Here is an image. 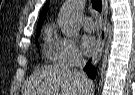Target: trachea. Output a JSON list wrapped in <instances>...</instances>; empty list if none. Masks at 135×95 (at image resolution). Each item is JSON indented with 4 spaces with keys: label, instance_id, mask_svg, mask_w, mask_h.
<instances>
[{
    "label": "trachea",
    "instance_id": "obj_1",
    "mask_svg": "<svg viewBox=\"0 0 135 95\" xmlns=\"http://www.w3.org/2000/svg\"><path fill=\"white\" fill-rule=\"evenodd\" d=\"M93 8L100 13L102 9V2L101 0H91Z\"/></svg>",
    "mask_w": 135,
    "mask_h": 95
}]
</instances>
